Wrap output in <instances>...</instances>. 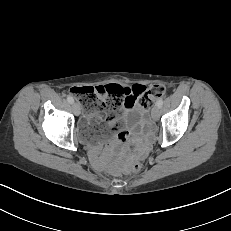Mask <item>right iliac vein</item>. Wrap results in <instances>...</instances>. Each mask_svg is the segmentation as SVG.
<instances>
[{
    "label": "right iliac vein",
    "instance_id": "obj_1",
    "mask_svg": "<svg viewBox=\"0 0 231 231\" xmlns=\"http://www.w3.org/2000/svg\"><path fill=\"white\" fill-rule=\"evenodd\" d=\"M72 108H73L75 115H77V116L80 115L81 107L78 103H73Z\"/></svg>",
    "mask_w": 231,
    "mask_h": 231
}]
</instances>
